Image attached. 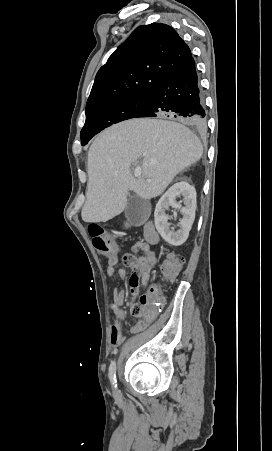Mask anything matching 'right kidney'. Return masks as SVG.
I'll return each instance as SVG.
<instances>
[{
	"label": "right kidney",
	"mask_w": 272,
	"mask_h": 451,
	"mask_svg": "<svg viewBox=\"0 0 272 451\" xmlns=\"http://www.w3.org/2000/svg\"><path fill=\"white\" fill-rule=\"evenodd\" d=\"M181 196L183 198L182 202L184 208L177 202V198H181ZM169 206H171V208H176V210H181L183 216V218L179 220V229H176V231H174V227L171 229V224L168 222L170 216H167L166 210H169ZM196 208L195 188L190 186L188 182H177V184L171 186V188L163 194L158 204H156L154 218L157 231H159L160 235H162L168 243H171V245H181V243L186 241L189 235V231L195 220Z\"/></svg>",
	"instance_id": "1"
}]
</instances>
